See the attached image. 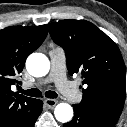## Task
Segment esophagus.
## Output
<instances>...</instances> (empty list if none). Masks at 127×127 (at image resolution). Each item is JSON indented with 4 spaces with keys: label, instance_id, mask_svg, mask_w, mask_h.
<instances>
[{
    "label": "esophagus",
    "instance_id": "obj_1",
    "mask_svg": "<svg viewBox=\"0 0 127 127\" xmlns=\"http://www.w3.org/2000/svg\"><path fill=\"white\" fill-rule=\"evenodd\" d=\"M44 103L48 109H53L57 105L58 101L54 99H46Z\"/></svg>",
    "mask_w": 127,
    "mask_h": 127
}]
</instances>
